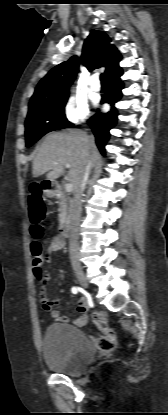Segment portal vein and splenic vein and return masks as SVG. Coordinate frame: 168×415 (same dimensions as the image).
Segmentation results:
<instances>
[{"instance_id": "18ae733b", "label": "portal vein and splenic vein", "mask_w": 168, "mask_h": 415, "mask_svg": "<svg viewBox=\"0 0 168 415\" xmlns=\"http://www.w3.org/2000/svg\"><path fill=\"white\" fill-rule=\"evenodd\" d=\"M66 168H69L70 166L68 164L65 165ZM65 190L66 192H71L73 190V185L71 183L65 184Z\"/></svg>"}]
</instances>
